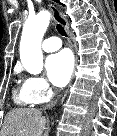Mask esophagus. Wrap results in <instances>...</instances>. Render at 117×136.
<instances>
[{
    "instance_id": "obj_1",
    "label": "esophagus",
    "mask_w": 117,
    "mask_h": 136,
    "mask_svg": "<svg viewBox=\"0 0 117 136\" xmlns=\"http://www.w3.org/2000/svg\"><path fill=\"white\" fill-rule=\"evenodd\" d=\"M48 8L50 9V11L52 12V16L54 18V20L61 24L65 30L67 31V33L69 34V25H68V22L67 20L62 16L61 12L59 11V9L54 5L52 4L51 2L48 3ZM67 94H68V89L64 92V94L62 95L61 99H60V102L59 103H62L66 97H67Z\"/></svg>"
}]
</instances>
